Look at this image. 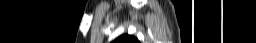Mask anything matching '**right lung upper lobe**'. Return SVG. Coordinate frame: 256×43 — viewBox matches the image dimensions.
Segmentation results:
<instances>
[{"label":"right lung upper lobe","instance_id":"right-lung-upper-lobe-1","mask_svg":"<svg viewBox=\"0 0 256 43\" xmlns=\"http://www.w3.org/2000/svg\"><path fill=\"white\" fill-rule=\"evenodd\" d=\"M113 43H140V42L133 36L123 35L117 38Z\"/></svg>","mask_w":256,"mask_h":43}]
</instances>
